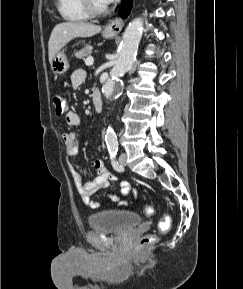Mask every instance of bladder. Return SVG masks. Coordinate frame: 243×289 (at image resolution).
Instances as JSON below:
<instances>
[{
  "label": "bladder",
  "instance_id": "31cf9c89",
  "mask_svg": "<svg viewBox=\"0 0 243 289\" xmlns=\"http://www.w3.org/2000/svg\"><path fill=\"white\" fill-rule=\"evenodd\" d=\"M140 223L141 217L138 214L124 210H103L89 217L92 229L118 234L129 231Z\"/></svg>",
  "mask_w": 243,
  "mask_h": 289
}]
</instances>
